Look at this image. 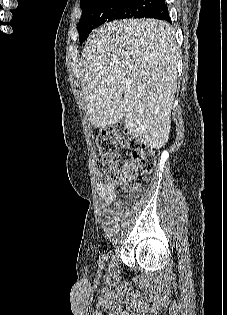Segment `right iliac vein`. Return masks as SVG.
Masks as SVG:
<instances>
[{
    "label": "right iliac vein",
    "instance_id": "right-iliac-vein-1",
    "mask_svg": "<svg viewBox=\"0 0 227 315\" xmlns=\"http://www.w3.org/2000/svg\"><path fill=\"white\" fill-rule=\"evenodd\" d=\"M120 240V236L119 234H117L115 237H114V243L117 244Z\"/></svg>",
    "mask_w": 227,
    "mask_h": 315
}]
</instances>
